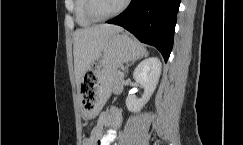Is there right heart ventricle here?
Returning a JSON list of instances; mask_svg holds the SVG:
<instances>
[{"label":"right heart ventricle","instance_id":"e07e8e85","mask_svg":"<svg viewBox=\"0 0 243 145\" xmlns=\"http://www.w3.org/2000/svg\"><path fill=\"white\" fill-rule=\"evenodd\" d=\"M86 0H75V20L77 24L81 27H89L94 24L85 11Z\"/></svg>","mask_w":243,"mask_h":145}]
</instances>
